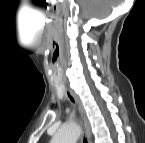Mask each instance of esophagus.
<instances>
[{
	"label": "esophagus",
	"instance_id": "esophagus-1",
	"mask_svg": "<svg viewBox=\"0 0 145 143\" xmlns=\"http://www.w3.org/2000/svg\"><path fill=\"white\" fill-rule=\"evenodd\" d=\"M70 93L78 104L79 112H80V115H81V118H82V121L84 124V130H85V134H86L88 143H92L91 142V129H90L89 121L87 119L84 107H83L80 99L78 98V96L75 94V92L72 89H70Z\"/></svg>",
	"mask_w": 145,
	"mask_h": 143
}]
</instances>
